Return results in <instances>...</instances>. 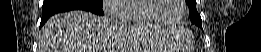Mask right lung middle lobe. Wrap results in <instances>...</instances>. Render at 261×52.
<instances>
[{"label": "right lung middle lobe", "instance_id": "1", "mask_svg": "<svg viewBox=\"0 0 261 52\" xmlns=\"http://www.w3.org/2000/svg\"><path fill=\"white\" fill-rule=\"evenodd\" d=\"M79 1L86 4V5L102 8L103 0H79Z\"/></svg>", "mask_w": 261, "mask_h": 52}]
</instances>
